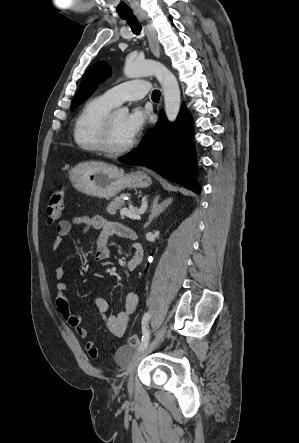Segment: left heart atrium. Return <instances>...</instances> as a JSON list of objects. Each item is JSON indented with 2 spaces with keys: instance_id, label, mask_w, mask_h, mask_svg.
Listing matches in <instances>:
<instances>
[{
  "instance_id": "39dd6f15",
  "label": "left heart atrium",
  "mask_w": 299,
  "mask_h": 443,
  "mask_svg": "<svg viewBox=\"0 0 299 443\" xmlns=\"http://www.w3.org/2000/svg\"><path fill=\"white\" fill-rule=\"evenodd\" d=\"M147 115L139 109H133L124 120V128L133 139L142 131L146 124Z\"/></svg>"
}]
</instances>
